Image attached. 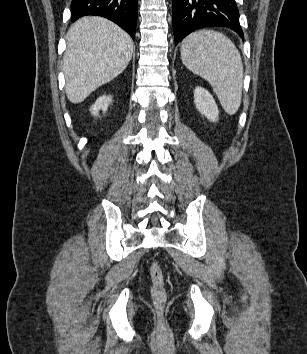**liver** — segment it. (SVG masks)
<instances>
[{
    "label": "liver",
    "mask_w": 307,
    "mask_h": 354,
    "mask_svg": "<svg viewBox=\"0 0 307 354\" xmlns=\"http://www.w3.org/2000/svg\"><path fill=\"white\" fill-rule=\"evenodd\" d=\"M63 57L65 91L74 104L121 74L131 60L134 43L116 24L102 17H83L67 33Z\"/></svg>",
    "instance_id": "1"
}]
</instances>
